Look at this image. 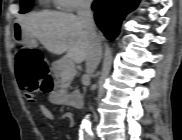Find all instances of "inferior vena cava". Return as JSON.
<instances>
[{
    "instance_id": "1",
    "label": "inferior vena cava",
    "mask_w": 182,
    "mask_h": 140,
    "mask_svg": "<svg viewBox=\"0 0 182 140\" xmlns=\"http://www.w3.org/2000/svg\"><path fill=\"white\" fill-rule=\"evenodd\" d=\"M77 16L86 29L90 39V49L85 63V77L89 78L99 65L102 57L101 41L96 33L90 0H83L80 2L77 9Z\"/></svg>"
}]
</instances>
